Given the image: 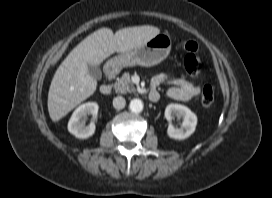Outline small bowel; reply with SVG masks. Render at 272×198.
Listing matches in <instances>:
<instances>
[{
  "instance_id": "obj_1",
  "label": "small bowel",
  "mask_w": 272,
  "mask_h": 198,
  "mask_svg": "<svg viewBox=\"0 0 272 198\" xmlns=\"http://www.w3.org/2000/svg\"><path fill=\"white\" fill-rule=\"evenodd\" d=\"M163 82L172 84L166 95L175 100L188 101L200 92V87L191 79L185 76L172 79L165 74L158 75L153 79V89L156 90V86Z\"/></svg>"
}]
</instances>
